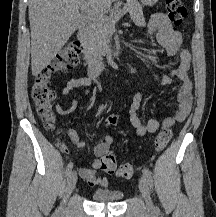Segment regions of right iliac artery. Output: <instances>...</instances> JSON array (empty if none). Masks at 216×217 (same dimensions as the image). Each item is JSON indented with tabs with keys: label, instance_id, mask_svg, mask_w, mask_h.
Here are the masks:
<instances>
[{
	"label": "right iliac artery",
	"instance_id": "right-iliac-artery-1",
	"mask_svg": "<svg viewBox=\"0 0 216 217\" xmlns=\"http://www.w3.org/2000/svg\"><path fill=\"white\" fill-rule=\"evenodd\" d=\"M72 168H73V163L70 162V163L67 165V167H66L65 174H66V175H69V174L71 173V171H72Z\"/></svg>",
	"mask_w": 216,
	"mask_h": 217
}]
</instances>
